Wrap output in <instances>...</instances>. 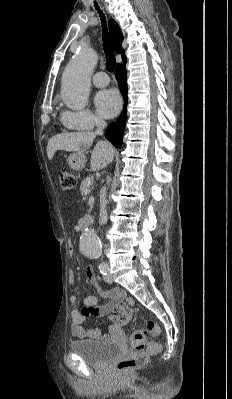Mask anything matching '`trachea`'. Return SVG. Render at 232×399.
Masks as SVG:
<instances>
[{"label":"trachea","mask_w":232,"mask_h":399,"mask_svg":"<svg viewBox=\"0 0 232 399\" xmlns=\"http://www.w3.org/2000/svg\"><path fill=\"white\" fill-rule=\"evenodd\" d=\"M95 6H96V9L99 10V7L97 6V4ZM99 13H100V17L102 20L103 47H104V52L106 55V68H107L108 72H113L115 70V66H116L115 55H114V52H113L110 42H109L105 16L100 10H99Z\"/></svg>","instance_id":"3493384b"}]
</instances>
